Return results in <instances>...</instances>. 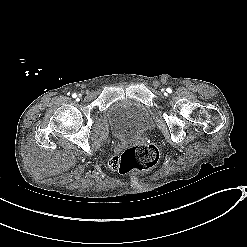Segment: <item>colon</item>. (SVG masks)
<instances>
[{"label": "colon", "mask_w": 247, "mask_h": 247, "mask_svg": "<svg viewBox=\"0 0 247 247\" xmlns=\"http://www.w3.org/2000/svg\"><path fill=\"white\" fill-rule=\"evenodd\" d=\"M120 157L121 166L118 170L119 172H128L133 169L146 171L159 162L160 153L155 144L143 142L125 150Z\"/></svg>", "instance_id": "colon-1"}]
</instances>
